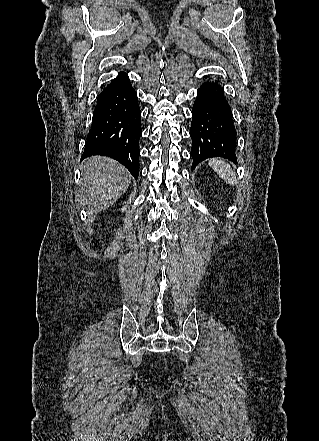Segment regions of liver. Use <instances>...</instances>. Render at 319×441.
Instances as JSON below:
<instances>
[{"label": "liver", "mask_w": 319, "mask_h": 441, "mask_svg": "<svg viewBox=\"0 0 319 441\" xmlns=\"http://www.w3.org/2000/svg\"><path fill=\"white\" fill-rule=\"evenodd\" d=\"M81 175L76 199L91 215L113 205L131 182V175L123 165L104 156L85 159L81 164Z\"/></svg>", "instance_id": "liver-1"}]
</instances>
